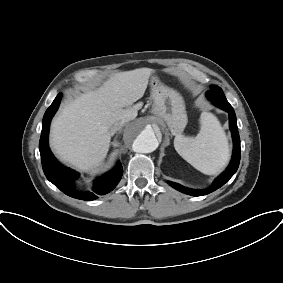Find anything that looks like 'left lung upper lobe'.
Here are the masks:
<instances>
[{
	"instance_id": "1",
	"label": "left lung upper lobe",
	"mask_w": 283,
	"mask_h": 283,
	"mask_svg": "<svg viewBox=\"0 0 283 283\" xmlns=\"http://www.w3.org/2000/svg\"><path fill=\"white\" fill-rule=\"evenodd\" d=\"M207 95L212 99H226L222 89L216 85L211 86V90L207 92Z\"/></svg>"
}]
</instances>
